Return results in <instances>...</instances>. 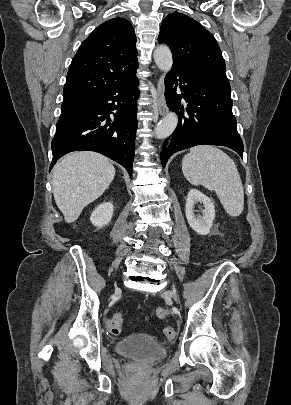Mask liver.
I'll return each mask as SVG.
<instances>
[{
  "mask_svg": "<svg viewBox=\"0 0 291 405\" xmlns=\"http://www.w3.org/2000/svg\"><path fill=\"white\" fill-rule=\"evenodd\" d=\"M115 176L110 160L96 152H73L53 168L55 202L67 223L78 219L84 207L100 197Z\"/></svg>",
  "mask_w": 291,
  "mask_h": 405,
  "instance_id": "1",
  "label": "liver"
}]
</instances>
